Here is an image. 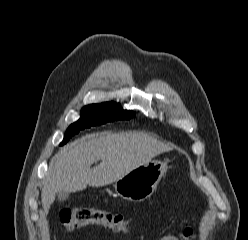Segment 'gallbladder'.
Masks as SVG:
<instances>
[{
	"label": "gallbladder",
	"mask_w": 248,
	"mask_h": 240,
	"mask_svg": "<svg viewBox=\"0 0 248 240\" xmlns=\"http://www.w3.org/2000/svg\"><path fill=\"white\" fill-rule=\"evenodd\" d=\"M69 197V193L66 192V191H59L57 193V199L62 202V201H65L66 199H68Z\"/></svg>",
	"instance_id": "obj_1"
}]
</instances>
